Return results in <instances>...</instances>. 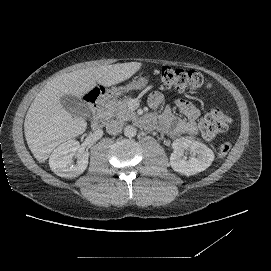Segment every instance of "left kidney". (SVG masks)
Returning a JSON list of instances; mask_svg holds the SVG:
<instances>
[{"mask_svg":"<svg viewBox=\"0 0 271 271\" xmlns=\"http://www.w3.org/2000/svg\"><path fill=\"white\" fill-rule=\"evenodd\" d=\"M173 152L170 156V165L176 172L186 176L194 175L207 169L214 160L213 151L205 144L187 138L176 139L172 143ZM190 152V157L184 155Z\"/></svg>","mask_w":271,"mask_h":271,"instance_id":"1","label":"left kidney"}]
</instances>
